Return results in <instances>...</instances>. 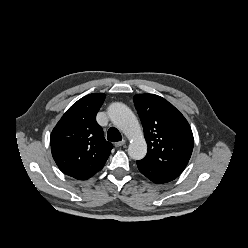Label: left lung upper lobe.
<instances>
[{
  "label": "left lung upper lobe",
  "instance_id": "left-lung-upper-lobe-1",
  "mask_svg": "<svg viewBox=\"0 0 248 248\" xmlns=\"http://www.w3.org/2000/svg\"><path fill=\"white\" fill-rule=\"evenodd\" d=\"M134 102L148 146L142 160L181 174L194 144L189 123L172 104L158 95L137 94Z\"/></svg>",
  "mask_w": 248,
  "mask_h": 248
}]
</instances>
